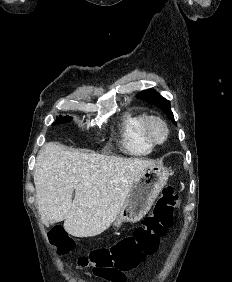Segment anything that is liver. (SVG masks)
Listing matches in <instances>:
<instances>
[{"instance_id": "obj_1", "label": "liver", "mask_w": 232, "mask_h": 282, "mask_svg": "<svg viewBox=\"0 0 232 282\" xmlns=\"http://www.w3.org/2000/svg\"><path fill=\"white\" fill-rule=\"evenodd\" d=\"M153 161L65 150L50 142L40 150L34 184L45 225L64 221L74 237L107 230L123 207L139 174ZM75 190V197L72 195Z\"/></svg>"}]
</instances>
